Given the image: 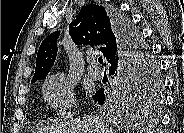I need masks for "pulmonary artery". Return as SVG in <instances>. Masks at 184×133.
Returning a JSON list of instances; mask_svg holds the SVG:
<instances>
[{"instance_id":"pulmonary-artery-1","label":"pulmonary artery","mask_w":184,"mask_h":133,"mask_svg":"<svg viewBox=\"0 0 184 133\" xmlns=\"http://www.w3.org/2000/svg\"><path fill=\"white\" fill-rule=\"evenodd\" d=\"M88 74L93 79L99 80L103 77V72L98 67L89 66L88 67Z\"/></svg>"}]
</instances>
